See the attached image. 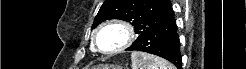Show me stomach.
<instances>
[{
  "label": "stomach",
  "mask_w": 246,
  "mask_h": 69,
  "mask_svg": "<svg viewBox=\"0 0 246 69\" xmlns=\"http://www.w3.org/2000/svg\"><path fill=\"white\" fill-rule=\"evenodd\" d=\"M94 69H121L120 67H117V68H115V67H109V66H100V67H97V68H94Z\"/></svg>",
  "instance_id": "0dacf381"
}]
</instances>
